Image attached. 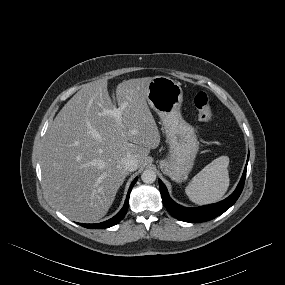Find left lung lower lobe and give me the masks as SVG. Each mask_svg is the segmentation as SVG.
Wrapping results in <instances>:
<instances>
[{
	"mask_svg": "<svg viewBox=\"0 0 285 285\" xmlns=\"http://www.w3.org/2000/svg\"><path fill=\"white\" fill-rule=\"evenodd\" d=\"M246 170L247 165L245 166L242 178L237 188L228 198L215 204L201 206L197 208H186L175 203L170 198L167 188L165 187L163 182L159 180L160 192L163 199V203L167 210L170 212V214L180 221L191 223L209 221L228 210L239 198L244 187Z\"/></svg>",
	"mask_w": 285,
	"mask_h": 285,
	"instance_id": "obj_1",
	"label": "left lung lower lobe"
}]
</instances>
